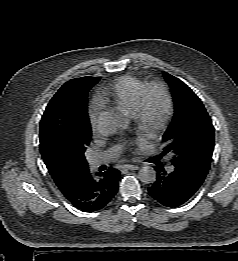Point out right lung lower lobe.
<instances>
[{
	"label": "right lung lower lobe",
	"instance_id": "obj_1",
	"mask_svg": "<svg viewBox=\"0 0 238 261\" xmlns=\"http://www.w3.org/2000/svg\"><path fill=\"white\" fill-rule=\"evenodd\" d=\"M119 178L120 172L113 168L94 175L89 171L65 197L82 211H98L114 198L118 190Z\"/></svg>",
	"mask_w": 238,
	"mask_h": 261
}]
</instances>
